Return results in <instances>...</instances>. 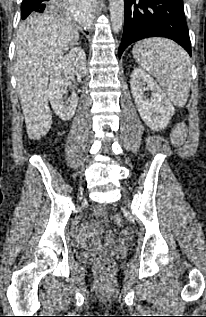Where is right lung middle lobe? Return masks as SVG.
<instances>
[{"label": "right lung middle lobe", "mask_w": 206, "mask_h": 317, "mask_svg": "<svg viewBox=\"0 0 206 317\" xmlns=\"http://www.w3.org/2000/svg\"><path fill=\"white\" fill-rule=\"evenodd\" d=\"M66 3V0H57L53 6V8L49 11H60L63 9L64 5ZM39 12H33L32 7L29 6L27 3L22 2L21 6V18L24 20L28 16H35L38 15Z\"/></svg>", "instance_id": "dd1d6c3e"}]
</instances>
